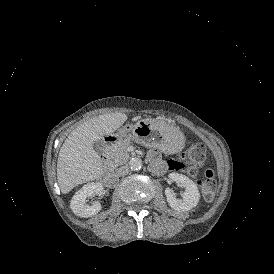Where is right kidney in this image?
Masks as SVG:
<instances>
[{"label": "right kidney", "instance_id": "1", "mask_svg": "<svg viewBox=\"0 0 274 274\" xmlns=\"http://www.w3.org/2000/svg\"><path fill=\"white\" fill-rule=\"evenodd\" d=\"M103 190L101 183L92 182L84 185L71 199L72 211L80 217L96 215L101 209V204L97 201L92 205H87L86 201L93 193L101 194Z\"/></svg>", "mask_w": 274, "mask_h": 274}]
</instances>
